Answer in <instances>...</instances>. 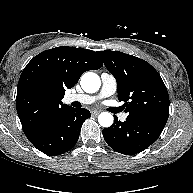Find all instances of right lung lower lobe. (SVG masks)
I'll return each mask as SVG.
<instances>
[{
	"label": "right lung lower lobe",
	"mask_w": 193,
	"mask_h": 193,
	"mask_svg": "<svg viewBox=\"0 0 193 193\" xmlns=\"http://www.w3.org/2000/svg\"><path fill=\"white\" fill-rule=\"evenodd\" d=\"M90 117L85 108H69L51 120L28 140L47 155H60L69 151L78 141L83 122Z\"/></svg>",
	"instance_id": "obj_1"
}]
</instances>
